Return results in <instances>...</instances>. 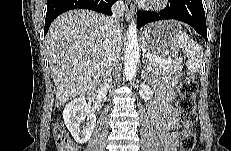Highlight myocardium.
I'll return each mask as SVG.
<instances>
[{"mask_svg":"<svg viewBox=\"0 0 231 151\" xmlns=\"http://www.w3.org/2000/svg\"><path fill=\"white\" fill-rule=\"evenodd\" d=\"M166 2H167V0H153V1H150L149 4L153 8H159L160 6H162L163 4H165Z\"/></svg>","mask_w":231,"mask_h":151,"instance_id":"myocardium-1","label":"myocardium"}]
</instances>
